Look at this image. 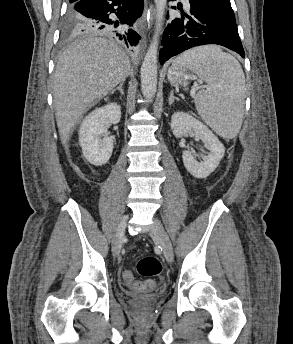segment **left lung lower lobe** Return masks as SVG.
<instances>
[{
  "mask_svg": "<svg viewBox=\"0 0 293 344\" xmlns=\"http://www.w3.org/2000/svg\"><path fill=\"white\" fill-rule=\"evenodd\" d=\"M189 4V14L178 5L182 17L175 18L164 32L161 64L189 48L206 44L222 45L245 57L235 21L205 0H189Z\"/></svg>",
  "mask_w": 293,
  "mask_h": 344,
  "instance_id": "obj_1",
  "label": "left lung lower lobe"
}]
</instances>
